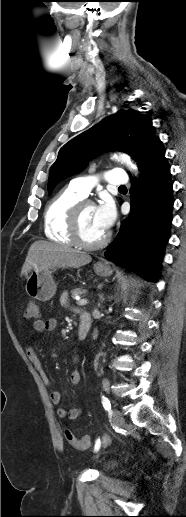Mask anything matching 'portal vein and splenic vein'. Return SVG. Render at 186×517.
<instances>
[{
    "label": "portal vein and splenic vein",
    "mask_w": 186,
    "mask_h": 517,
    "mask_svg": "<svg viewBox=\"0 0 186 517\" xmlns=\"http://www.w3.org/2000/svg\"><path fill=\"white\" fill-rule=\"evenodd\" d=\"M77 304L78 305H86L87 304V300L86 299H78Z\"/></svg>",
    "instance_id": "1"
}]
</instances>
